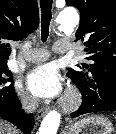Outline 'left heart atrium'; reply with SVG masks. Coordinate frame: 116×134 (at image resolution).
<instances>
[{
	"instance_id": "39dd6f15",
	"label": "left heart atrium",
	"mask_w": 116,
	"mask_h": 134,
	"mask_svg": "<svg viewBox=\"0 0 116 134\" xmlns=\"http://www.w3.org/2000/svg\"><path fill=\"white\" fill-rule=\"evenodd\" d=\"M26 85L32 95L53 99L62 93V79L53 64H44L31 70L26 77Z\"/></svg>"
}]
</instances>
